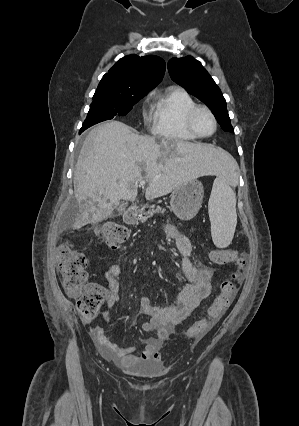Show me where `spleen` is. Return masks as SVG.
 Segmentation results:
<instances>
[{
    "label": "spleen",
    "mask_w": 299,
    "mask_h": 426,
    "mask_svg": "<svg viewBox=\"0 0 299 426\" xmlns=\"http://www.w3.org/2000/svg\"><path fill=\"white\" fill-rule=\"evenodd\" d=\"M236 167V166H235ZM212 240L216 247L226 248L232 242L237 225L236 196L226 174L215 179L208 202Z\"/></svg>",
    "instance_id": "obj_1"
}]
</instances>
